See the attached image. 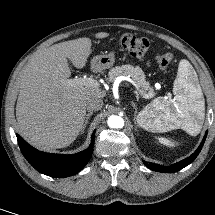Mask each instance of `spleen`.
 <instances>
[{"mask_svg":"<svg viewBox=\"0 0 215 215\" xmlns=\"http://www.w3.org/2000/svg\"><path fill=\"white\" fill-rule=\"evenodd\" d=\"M173 99L158 97L138 114L151 132H167L181 128L191 136L200 133L205 118L203 93L192 65L181 60L173 85Z\"/></svg>","mask_w":215,"mask_h":215,"instance_id":"spleen-1","label":"spleen"}]
</instances>
